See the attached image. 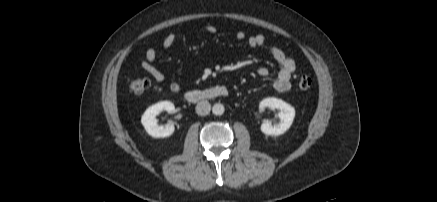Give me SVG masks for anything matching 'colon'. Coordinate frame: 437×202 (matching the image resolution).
Returning a JSON list of instances; mask_svg holds the SVG:
<instances>
[{
	"mask_svg": "<svg viewBox=\"0 0 437 202\" xmlns=\"http://www.w3.org/2000/svg\"><path fill=\"white\" fill-rule=\"evenodd\" d=\"M130 92L140 95L147 91L151 85L149 79L143 77H130L127 81ZM298 86L301 90H308L312 86V79L308 75H301L298 80Z\"/></svg>",
	"mask_w": 437,
	"mask_h": 202,
	"instance_id": "colon-1",
	"label": "colon"
}]
</instances>
